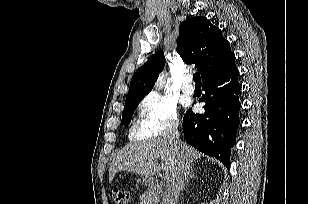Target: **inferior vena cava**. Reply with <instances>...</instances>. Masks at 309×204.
<instances>
[{"mask_svg": "<svg viewBox=\"0 0 309 204\" xmlns=\"http://www.w3.org/2000/svg\"><path fill=\"white\" fill-rule=\"evenodd\" d=\"M165 137L177 152L178 164L171 176L163 199V204H176L190 172V163L184 154L183 145L179 139L178 124H174L166 133Z\"/></svg>", "mask_w": 309, "mask_h": 204, "instance_id": "obj_1", "label": "inferior vena cava"}]
</instances>
